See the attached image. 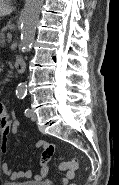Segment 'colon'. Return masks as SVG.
Returning a JSON list of instances; mask_svg holds the SVG:
<instances>
[{
    "label": "colon",
    "mask_w": 119,
    "mask_h": 185,
    "mask_svg": "<svg viewBox=\"0 0 119 185\" xmlns=\"http://www.w3.org/2000/svg\"><path fill=\"white\" fill-rule=\"evenodd\" d=\"M69 163H73V164H78V160L76 158L70 160ZM71 185H75L74 183H72Z\"/></svg>",
    "instance_id": "1"
}]
</instances>
